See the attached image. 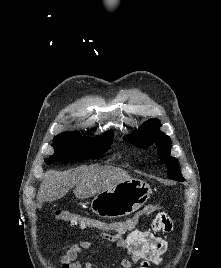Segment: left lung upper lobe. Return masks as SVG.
Listing matches in <instances>:
<instances>
[{
    "label": "left lung upper lobe",
    "instance_id": "1",
    "mask_svg": "<svg viewBox=\"0 0 221 268\" xmlns=\"http://www.w3.org/2000/svg\"><path fill=\"white\" fill-rule=\"evenodd\" d=\"M160 126L161 123L159 120L150 119L145 122L143 127L136 130L133 135H127L123 138L124 140L141 148L155 143L158 147L157 153L159 158L168 166V177L176 181H184V178L179 172L176 158L170 156V138L158 129Z\"/></svg>",
    "mask_w": 221,
    "mask_h": 268
}]
</instances>
